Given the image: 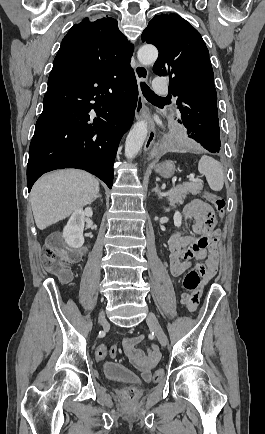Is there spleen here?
<instances>
[{
    "instance_id": "obj_1",
    "label": "spleen",
    "mask_w": 265,
    "mask_h": 434,
    "mask_svg": "<svg viewBox=\"0 0 265 434\" xmlns=\"http://www.w3.org/2000/svg\"><path fill=\"white\" fill-rule=\"evenodd\" d=\"M198 170L200 174L205 176L211 190L220 192L224 186L223 170L214 158L210 156H202L198 162Z\"/></svg>"
}]
</instances>
